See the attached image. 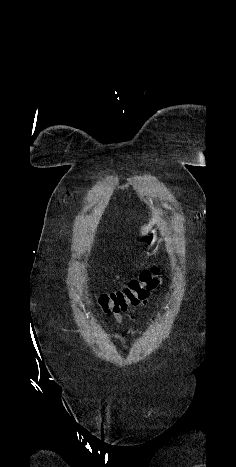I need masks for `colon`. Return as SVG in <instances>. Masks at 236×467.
<instances>
[{
    "label": "colon",
    "instance_id": "5ec220e1",
    "mask_svg": "<svg viewBox=\"0 0 236 467\" xmlns=\"http://www.w3.org/2000/svg\"><path fill=\"white\" fill-rule=\"evenodd\" d=\"M160 270L157 266L143 270L137 279L119 290L103 293L98 297V302L105 313H119L125 311L128 306L137 305L145 300L149 293L156 287Z\"/></svg>",
    "mask_w": 236,
    "mask_h": 467
}]
</instances>
